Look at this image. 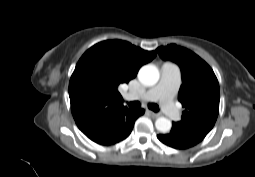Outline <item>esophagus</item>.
I'll list each match as a JSON object with an SVG mask.
<instances>
[{"instance_id": "1", "label": "esophagus", "mask_w": 255, "mask_h": 177, "mask_svg": "<svg viewBox=\"0 0 255 177\" xmlns=\"http://www.w3.org/2000/svg\"><path fill=\"white\" fill-rule=\"evenodd\" d=\"M148 112H149L150 115H151L152 117H154V118H158V117L160 116L159 113L153 112V111H151V110H148Z\"/></svg>"}]
</instances>
